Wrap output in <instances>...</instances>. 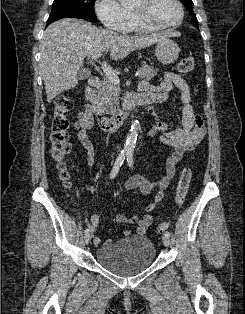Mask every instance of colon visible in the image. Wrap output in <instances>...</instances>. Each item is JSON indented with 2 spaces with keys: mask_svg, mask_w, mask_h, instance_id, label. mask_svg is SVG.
I'll return each mask as SVG.
<instances>
[{
  "mask_svg": "<svg viewBox=\"0 0 245 314\" xmlns=\"http://www.w3.org/2000/svg\"><path fill=\"white\" fill-rule=\"evenodd\" d=\"M194 63L195 60L193 57H186L179 62L178 71L181 74H188L193 70ZM72 108L73 101L71 97L68 95H59L56 97L54 101V115L51 122V131L49 134L50 153L57 163L60 178L66 186H70V171L68 168L67 157L71 151V143L67 133V116ZM191 178V169L184 168L181 172L176 191L175 201L177 207H181L186 199ZM169 226V222H162L158 224L157 231L163 233Z\"/></svg>",
  "mask_w": 245,
  "mask_h": 314,
  "instance_id": "5ec220e1",
  "label": "colon"
}]
</instances>
